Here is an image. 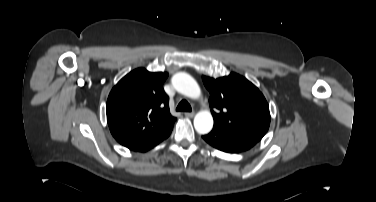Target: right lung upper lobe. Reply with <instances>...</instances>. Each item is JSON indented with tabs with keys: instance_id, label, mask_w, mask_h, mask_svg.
<instances>
[{
	"instance_id": "cb5924a9",
	"label": "right lung upper lobe",
	"mask_w": 376,
	"mask_h": 202,
	"mask_svg": "<svg viewBox=\"0 0 376 202\" xmlns=\"http://www.w3.org/2000/svg\"><path fill=\"white\" fill-rule=\"evenodd\" d=\"M168 73H151L138 68L123 77L111 90L107 122L113 137L135 150L156 142L172 129L176 120L169 111L163 89Z\"/></svg>"
}]
</instances>
